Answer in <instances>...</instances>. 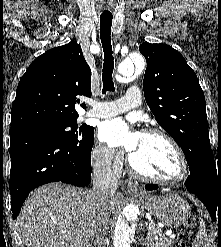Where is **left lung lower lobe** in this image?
Segmentation results:
<instances>
[{"label": "left lung lower lobe", "instance_id": "obj_1", "mask_svg": "<svg viewBox=\"0 0 221 247\" xmlns=\"http://www.w3.org/2000/svg\"><path fill=\"white\" fill-rule=\"evenodd\" d=\"M190 175L185 186L195 194L208 209L211 218L215 221L221 216V163L216 164L213 154L207 153L194 165L189 166ZM147 190L158 189V185H145Z\"/></svg>", "mask_w": 221, "mask_h": 247}]
</instances>
